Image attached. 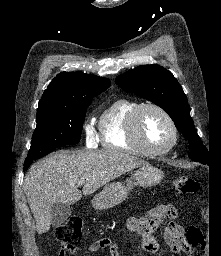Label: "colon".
I'll return each mask as SVG.
<instances>
[{
    "label": "colon",
    "instance_id": "5ec220e1",
    "mask_svg": "<svg viewBox=\"0 0 221 256\" xmlns=\"http://www.w3.org/2000/svg\"><path fill=\"white\" fill-rule=\"evenodd\" d=\"M173 188L180 194H194L199 190L200 184L191 177L182 176L174 180ZM54 235L61 243L63 252L65 250L74 251L82 237L81 219L78 217L69 218L66 222L56 227ZM186 242V250L189 252V256L206 255V241L199 228L191 227L188 230Z\"/></svg>",
    "mask_w": 221,
    "mask_h": 256
}]
</instances>
